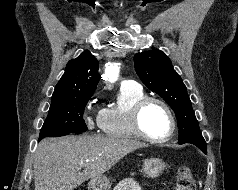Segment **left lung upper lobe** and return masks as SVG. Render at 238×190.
<instances>
[{"label": "left lung upper lobe", "instance_id": "obj_1", "mask_svg": "<svg viewBox=\"0 0 238 190\" xmlns=\"http://www.w3.org/2000/svg\"><path fill=\"white\" fill-rule=\"evenodd\" d=\"M135 69L143 83L160 95L175 112L179 128V144L191 143L207 153L206 142L181 77L170 59L160 50L137 53Z\"/></svg>", "mask_w": 238, "mask_h": 190}]
</instances>
